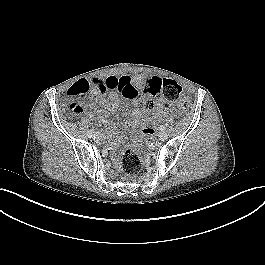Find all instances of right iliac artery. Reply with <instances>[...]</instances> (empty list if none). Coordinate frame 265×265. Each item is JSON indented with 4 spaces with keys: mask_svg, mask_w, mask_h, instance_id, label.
<instances>
[{
    "mask_svg": "<svg viewBox=\"0 0 265 265\" xmlns=\"http://www.w3.org/2000/svg\"><path fill=\"white\" fill-rule=\"evenodd\" d=\"M87 136H88L89 138H91V137L93 136V132H92V131H88Z\"/></svg>",
    "mask_w": 265,
    "mask_h": 265,
    "instance_id": "1",
    "label": "right iliac artery"
}]
</instances>
